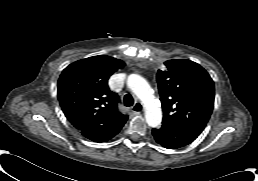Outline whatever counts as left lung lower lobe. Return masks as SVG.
Wrapping results in <instances>:
<instances>
[{
    "mask_svg": "<svg viewBox=\"0 0 258 181\" xmlns=\"http://www.w3.org/2000/svg\"><path fill=\"white\" fill-rule=\"evenodd\" d=\"M152 134L156 142L167 149L183 147L198 137L197 134L166 125H162L160 129H153Z\"/></svg>",
    "mask_w": 258,
    "mask_h": 181,
    "instance_id": "1",
    "label": "left lung lower lobe"
}]
</instances>
